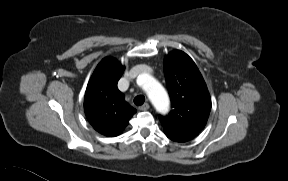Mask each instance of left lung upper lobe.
I'll return each instance as SVG.
<instances>
[{"label":"left lung upper lobe","instance_id":"obj_1","mask_svg":"<svg viewBox=\"0 0 288 181\" xmlns=\"http://www.w3.org/2000/svg\"><path fill=\"white\" fill-rule=\"evenodd\" d=\"M164 74L173 110L160 116L164 133L170 139H192L204 128L211 98L194 61L176 50L164 59Z\"/></svg>","mask_w":288,"mask_h":181}]
</instances>
